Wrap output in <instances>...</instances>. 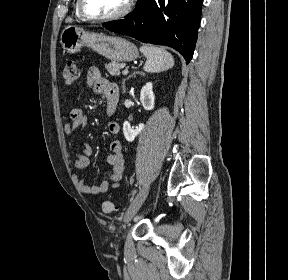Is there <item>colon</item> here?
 I'll return each mask as SVG.
<instances>
[{"mask_svg": "<svg viewBox=\"0 0 288 280\" xmlns=\"http://www.w3.org/2000/svg\"><path fill=\"white\" fill-rule=\"evenodd\" d=\"M63 76L67 83H74L79 79L80 68L75 60L67 61L64 68ZM102 209L105 213H110L114 211L115 205L111 201H105L102 205Z\"/></svg>", "mask_w": 288, "mask_h": 280, "instance_id": "colon-1", "label": "colon"}]
</instances>
